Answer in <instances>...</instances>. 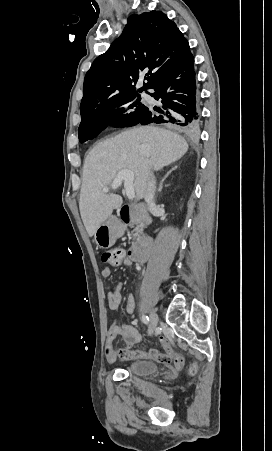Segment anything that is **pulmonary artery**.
<instances>
[{
    "label": "pulmonary artery",
    "mask_w": 272,
    "mask_h": 451,
    "mask_svg": "<svg viewBox=\"0 0 272 451\" xmlns=\"http://www.w3.org/2000/svg\"><path fill=\"white\" fill-rule=\"evenodd\" d=\"M142 96H143V98H145V99H152L148 94H145V93H143Z\"/></svg>",
    "instance_id": "1"
}]
</instances>
